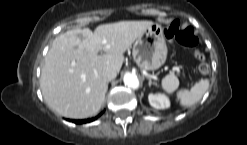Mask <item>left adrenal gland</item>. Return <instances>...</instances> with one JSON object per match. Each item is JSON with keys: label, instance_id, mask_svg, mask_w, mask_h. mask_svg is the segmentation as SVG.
I'll return each mask as SVG.
<instances>
[{"label": "left adrenal gland", "instance_id": "a2214340", "mask_svg": "<svg viewBox=\"0 0 247 145\" xmlns=\"http://www.w3.org/2000/svg\"><path fill=\"white\" fill-rule=\"evenodd\" d=\"M149 80V86H151L152 84L157 86V83L156 82H152L151 78H147Z\"/></svg>", "mask_w": 247, "mask_h": 145}]
</instances>
